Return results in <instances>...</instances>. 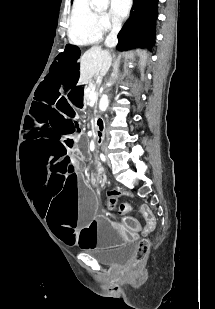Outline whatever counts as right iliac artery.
<instances>
[{
    "label": "right iliac artery",
    "instance_id": "1",
    "mask_svg": "<svg viewBox=\"0 0 215 309\" xmlns=\"http://www.w3.org/2000/svg\"><path fill=\"white\" fill-rule=\"evenodd\" d=\"M100 157H101V160H102V161H104V162L106 161V157H105V155H104V154H101V156H100Z\"/></svg>",
    "mask_w": 215,
    "mask_h": 309
}]
</instances>
